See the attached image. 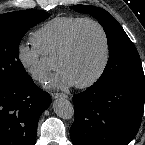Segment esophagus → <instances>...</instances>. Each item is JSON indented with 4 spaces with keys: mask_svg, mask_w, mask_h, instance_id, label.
I'll list each match as a JSON object with an SVG mask.
<instances>
[{
    "mask_svg": "<svg viewBox=\"0 0 145 145\" xmlns=\"http://www.w3.org/2000/svg\"><path fill=\"white\" fill-rule=\"evenodd\" d=\"M51 97H52L53 99H57V98H59V97L67 98L68 96L65 95V94H63V93L54 92V93H51Z\"/></svg>",
    "mask_w": 145,
    "mask_h": 145,
    "instance_id": "obj_1",
    "label": "esophagus"
}]
</instances>
